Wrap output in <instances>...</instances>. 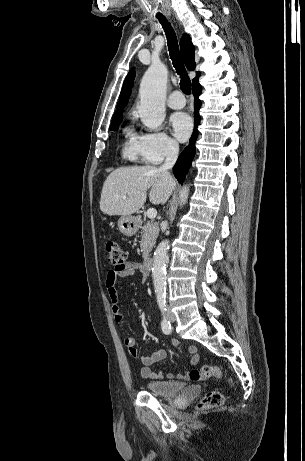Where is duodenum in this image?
<instances>
[{
  "mask_svg": "<svg viewBox=\"0 0 305 461\" xmlns=\"http://www.w3.org/2000/svg\"><path fill=\"white\" fill-rule=\"evenodd\" d=\"M154 260L151 256H146L144 259V266L146 269H151L153 267Z\"/></svg>",
  "mask_w": 305,
  "mask_h": 461,
  "instance_id": "duodenum-1",
  "label": "duodenum"
}]
</instances>
